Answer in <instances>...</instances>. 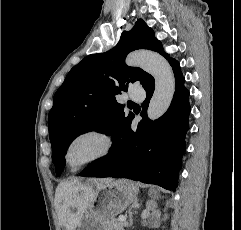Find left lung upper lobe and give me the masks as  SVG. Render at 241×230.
<instances>
[{"label":"left lung upper lobe","instance_id":"5c2ea615","mask_svg":"<svg viewBox=\"0 0 241 230\" xmlns=\"http://www.w3.org/2000/svg\"><path fill=\"white\" fill-rule=\"evenodd\" d=\"M136 49L153 50L169 58L154 31L139 19L130 31L122 33L113 49L89 55L74 66L55 93L48 122L58 176L65 166L64 155L77 136L95 130L114 139L121 126L133 118L132 113L125 115L115 95L126 92L129 83L139 81L145 87L152 80L142 69L126 66L127 54Z\"/></svg>","mask_w":241,"mask_h":230}]
</instances>
